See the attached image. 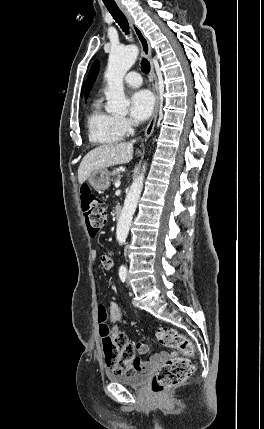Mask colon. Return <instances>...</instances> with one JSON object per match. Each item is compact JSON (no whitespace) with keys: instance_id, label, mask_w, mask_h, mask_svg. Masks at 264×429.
I'll use <instances>...</instances> for the list:
<instances>
[{"instance_id":"1","label":"colon","mask_w":264,"mask_h":429,"mask_svg":"<svg viewBox=\"0 0 264 429\" xmlns=\"http://www.w3.org/2000/svg\"><path fill=\"white\" fill-rule=\"evenodd\" d=\"M81 207L90 235L95 236L105 225L107 207L87 186L80 191ZM107 315L103 306H98V322L105 328ZM158 341L171 349L178 350L183 356H169L155 373L151 388L155 394H163L187 380L194 367L190 360L195 354L192 342L178 331L162 327L157 331ZM104 359L107 366L117 374H131L128 364L134 358V348L125 335L118 334L108 337L103 344Z\"/></svg>"}]
</instances>
